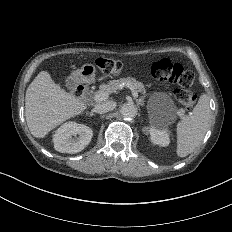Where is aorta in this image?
<instances>
[{"mask_svg":"<svg viewBox=\"0 0 232 232\" xmlns=\"http://www.w3.org/2000/svg\"><path fill=\"white\" fill-rule=\"evenodd\" d=\"M122 115L127 119H132L137 115V108L133 103H125L121 107Z\"/></svg>","mask_w":232,"mask_h":232,"instance_id":"762f6f07","label":"aorta"}]
</instances>
